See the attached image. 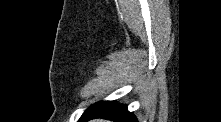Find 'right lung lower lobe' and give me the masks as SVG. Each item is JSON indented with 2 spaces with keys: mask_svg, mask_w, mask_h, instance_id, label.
Wrapping results in <instances>:
<instances>
[{
  "mask_svg": "<svg viewBox=\"0 0 221 122\" xmlns=\"http://www.w3.org/2000/svg\"><path fill=\"white\" fill-rule=\"evenodd\" d=\"M94 118H105L120 122H137L136 117L128 112L126 106L117 104L115 101H104L88 108L80 121H88Z\"/></svg>",
  "mask_w": 221,
  "mask_h": 122,
  "instance_id": "right-lung-lower-lobe-1",
  "label": "right lung lower lobe"
}]
</instances>
